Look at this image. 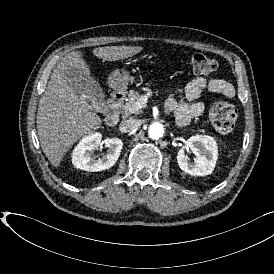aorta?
Wrapping results in <instances>:
<instances>
[{
    "label": "aorta",
    "mask_w": 274,
    "mask_h": 274,
    "mask_svg": "<svg viewBox=\"0 0 274 274\" xmlns=\"http://www.w3.org/2000/svg\"><path fill=\"white\" fill-rule=\"evenodd\" d=\"M165 128L160 122H153L148 128V134L151 139H158L163 136Z\"/></svg>",
    "instance_id": "aorta-1"
}]
</instances>
